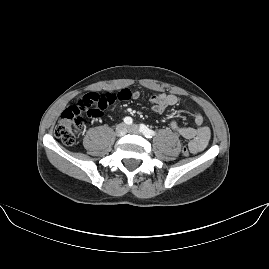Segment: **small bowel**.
<instances>
[{
    "label": "small bowel",
    "instance_id": "c3829d8e",
    "mask_svg": "<svg viewBox=\"0 0 269 269\" xmlns=\"http://www.w3.org/2000/svg\"><path fill=\"white\" fill-rule=\"evenodd\" d=\"M141 95L140 91H134L131 93L130 98L138 100L141 98ZM178 100L175 94L155 93L151 96L149 105L154 112L162 113L168 107L176 105ZM193 123L194 125L192 127H183L179 125L177 119H173L170 122V127L178 135L189 140L188 146L192 154H198L207 147L211 132L210 129L203 124L204 117L201 113L194 114Z\"/></svg>",
    "mask_w": 269,
    "mask_h": 269
}]
</instances>
